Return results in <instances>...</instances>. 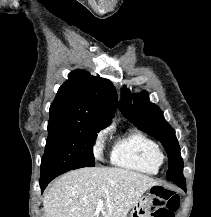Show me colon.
I'll use <instances>...</instances> for the list:
<instances>
[{
	"label": "colon",
	"mask_w": 211,
	"mask_h": 217,
	"mask_svg": "<svg viewBox=\"0 0 211 217\" xmlns=\"http://www.w3.org/2000/svg\"><path fill=\"white\" fill-rule=\"evenodd\" d=\"M153 193L152 217H175L180 206L179 196L162 186L156 187Z\"/></svg>",
	"instance_id": "colon-1"
}]
</instances>
